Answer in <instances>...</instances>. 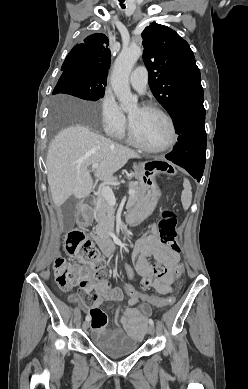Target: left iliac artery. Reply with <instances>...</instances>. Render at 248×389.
Instances as JSON below:
<instances>
[{"label": "left iliac artery", "mask_w": 248, "mask_h": 389, "mask_svg": "<svg viewBox=\"0 0 248 389\" xmlns=\"http://www.w3.org/2000/svg\"><path fill=\"white\" fill-rule=\"evenodd\" d=\"M148 322H149L150 325L154 326V321L152 319H149Z\"/></svg>", "instance_id": "44dca946"}]
</instances>
